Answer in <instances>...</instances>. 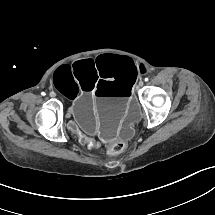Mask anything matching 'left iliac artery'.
Here are the masks:
<instances>
[{
  "label": "left iliac artery",
  "mask_w": 215,
  "mask_h": 215,
  "mask_svg": "<svg viewBox=\"0 0 215 215\" xmlns=\"http://www.w3.org/2000/svg\"><path fill=\"white\" fill-rule=\"evenodd\" d=\"M148 80H149V79L146 77V78H145V81H148Z\"/></svg>",
  "instance_id": "obj_1"
}]
</instances>
